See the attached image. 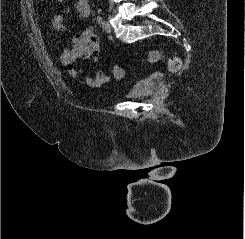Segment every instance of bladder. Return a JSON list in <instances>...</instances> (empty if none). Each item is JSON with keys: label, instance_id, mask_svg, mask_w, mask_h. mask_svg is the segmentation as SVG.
Wrapping results in <instances>:
<instances>
[{"label": "bladder", "instance_id": "31cf9c89", "mask_svg": "<svg viewBox=\"0 0 245 239\" xmlns=\"http://www.w3.org/2000/svg\"><path fill=\"white\" fill-rule=\"evenodd\" d=\"M155 87V82L152 79L139 80L128 87L123 94V98L132 99L142 97L150 93Z\"/></svg>", "mask_w": 245, "mask_h": 239}]
</instances>
